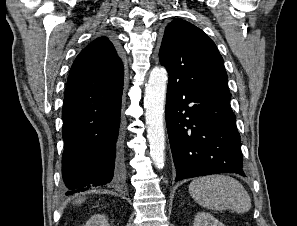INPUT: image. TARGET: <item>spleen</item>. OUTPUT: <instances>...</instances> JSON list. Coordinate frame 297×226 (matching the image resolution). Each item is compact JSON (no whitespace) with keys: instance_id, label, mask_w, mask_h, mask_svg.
I'll list each match as a JSON object with an SVG mask.
<instances>
[{"instance_id":"3e777b00","label":"spleen","mask_w":297,"mask_h":226,"mask_svg":"<svg viewBox=\"0 0 297 226\" xmlns=\"http://www.w3.org/2000/svg\"><path fill=\"white\" fill-rule=\"evenodd\" d=\"M189 193L199 205L210 210L245 213L251 209V199L243 185L226 175L196 178L189 185Z\"/></svg>"}]
</instances>
